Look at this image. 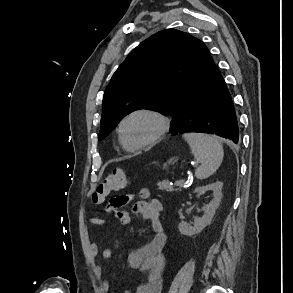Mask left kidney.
<instances>
[{
	"mask_svg": "<svg viewBox=\"0 0 293 293\" xmlns=\"http://www.w3.org/2000/svg\"><path fill=\"white\" fill-rule=\"evenodd\" d=\"M222 182H215L205 186H199L194 190V193H200L204 191H213V199L210 203L203 206V216L195 217L193 225L181 221L178 225L179 232L182 235L192 236L194 234L200 233L207 225L211 223V220L215 214L216 209L219 206L222 197Z\"/></svg>",
	"mask_w": 293,
	"mask_h": 293,
	"instance_id": "left-kidney-1",
	"label": "left kidney"
}]
</instances>
